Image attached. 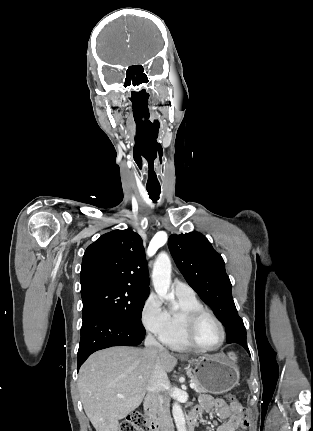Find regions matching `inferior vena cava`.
I'll return each instance as SVG.
<instances>
[{"label": "inferior vena cava", "instance_id": "602c4592", "mask_svg": "<svg viewBox=\"0 0 313 431\" xmlns=\"http://www.w3.org/2000/svg\"><path fill=\"white\" fill-rule=\"evenodd\" d=\"M144 344L147 350L157 353L154 368L146 386L149 392L147 402L160 415L161 431H174L167 402L162 396V392L165 390L168 382V377L161 367L158 356L159 354L166 353V349L151 334L146 336Z\"/></svg>", "mask_w": 313, "mask_h": 431}]
</instances>
